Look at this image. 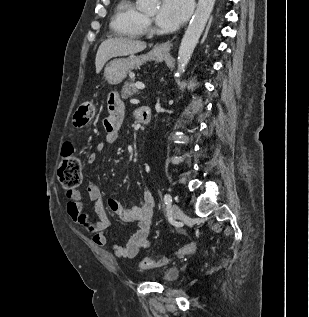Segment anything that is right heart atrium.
Returning a JSON list of instances; mask_svg holds the SVG:
<instances>
[{
	"instance_id": "d8ad5b80",
	"label": "right heart atrium",
	"mask_w": 309,
	"mask_h": 317,
	"mask_svg": "<svg viewBox=\"0 0 309 317\" xmlns=\"http://www.w3.org/2000/svg\"><path fill=\"white\" fill-rule=\"evenodd\" d=\"M149 24H150V21H149L147 18H145V20H144V25H145V26H149Z\"/></svg>"
}]
</instances>
